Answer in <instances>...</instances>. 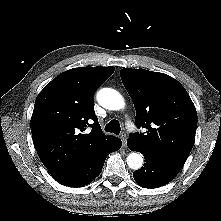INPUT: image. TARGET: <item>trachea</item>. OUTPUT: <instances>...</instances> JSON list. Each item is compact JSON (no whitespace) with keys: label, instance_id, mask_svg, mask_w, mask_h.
Here are the masks:
<instances>
[{"label":"trachea","instance_id":"3493384b","mask_svg":"<svg viewBox=\"0 0 221 221\" xmlns=\"http://www.w3.org/2000/svg\"><path fill=\"white\" fill-rule=\"evenodd\" d=\"M105 130L107 132H111L114 133L116 135H118L120 133V124L117 120H111L106 126H105Z\"/></svg>","mask_w":221,"mask_h":221}]
</instances>
